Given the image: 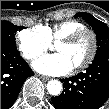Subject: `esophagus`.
Returning a JSON list of instances; mask_svg holds the SVG:
<instances>
[{
	"label": "esophagus",
	"mask_w": 109,
	"mask_h": 109,
	"mask_svg": "<svg viewBox=\"0 0 109 109\" xmlns=\"http://www.w3.org/2000/svg\"><path fill=\"white\" fill-rule=\"evenodd\" d=\"M39 78H40L42 81H48V80H50L49 77L42 76V75H39Z\"/></svg>",
	"instance_id": "34e87169"
}]
</instances>
